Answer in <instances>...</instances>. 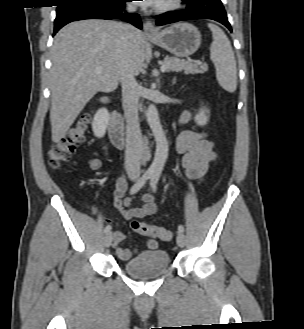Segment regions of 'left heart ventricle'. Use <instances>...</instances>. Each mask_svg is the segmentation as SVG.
Wrapping results in <instances>:
<instances>
[{"instance_id":"1","label":"left heart ventricle","mask_w":304,"mask_h":329,"mask_svg":"<svg viewBox=\"0 0 304 329\" xmlns=\"http://www.w3.org/2000/svg\"><path fill=\"white\" fill-rule=\"evenodd\" d=\"M163 1H164V0H161V2H160V3H162ZM160 3H159V4H160Z\"/></svg>"}]
</instances>
